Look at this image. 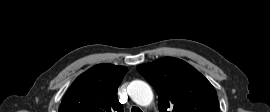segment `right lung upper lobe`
<instances>
[{
  "label": "right lung upper lobe",
  "mask_w": 270,
  "mask_h": 112,
  "mask_svg": "<svg viewBox=\"0 0 270 112\" xmlns=\"http://www.w3.org/2000/svg\"><path fill=\"white\" fill-rule=\"evenodd\" d=\"M126 72L124 66H93L70 86L59 112H124L117 89Z\"/></svg>",
  "instance_id": "right-lung-upper-lobe-1"
}]
</instances>
